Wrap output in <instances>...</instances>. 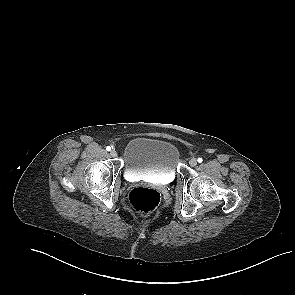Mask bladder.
I'll list each match as a JSON object with an SVG mask.
<instances>
[{
	"instance_id": "bladder-1",
	"label": "bladder",
	"mask_w": 295,
	"mask_h": 295,
	"mask_svg": "<svg viewBox=\"0 0 295 295\" xmlns=\"http://www.w3.org/2000/svg\"><path fill=\"white\" fill-rule=\"evenodd\" d=\"M124 172L129 177H152L171 182L177 174L179 150L170 141L137 137L124 148Z\"/></svg>"
}]
</instances>
